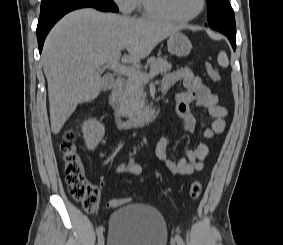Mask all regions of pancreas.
Wrapping results in <instances>:
<instances>
[{"instance_id":"pancreas-1","label":"pancreas","mask_w":283,"mask_h":245,"mask_svg":"<svg viewBox=\"0 0 283 245\" xmlns=\"http://www.w3.org/2000/svg\"><path fill=\"white\" fill-rule=\"evenodd\" d=\"M151 73H166L172 68L171 63L161 57H151L147 61ZM146 75V73H141ZM146 92L144 91V81L137 78H128L125 81L124 90L120 98L119 111L123 116L133 119L137 114L146 110L149 105L146 101Z\"/></svg>"}]
</instances>
